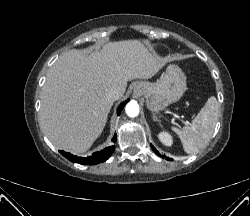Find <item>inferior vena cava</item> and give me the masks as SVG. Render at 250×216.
Segmentation results:
<instances>
[{"instance_id": "1", "label": "inferior vena cava", "mask_w": 250, "mask_h": 216, "mask_svg": "<svg viewBox=\"0 0 250 216\" xmlns=\"http://www.w3.org/2000/svg\"><path fill=\"white\" fill-rule=\"evenodd\" d=\"M106 96L111 100H117L118 98H120L121 94L118 89L111 88L106 92Z\"/></svg>"}]
</instances>
